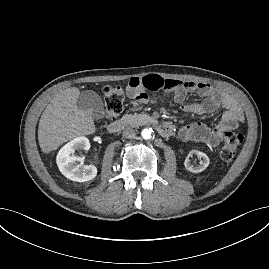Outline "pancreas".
I'll list each match as a JSON object with an SVG mask.
<instances>
[{
	"label": "pancreas",
	"mask_w": 269,
	"mask_h": 269,
	"mask_svg": "<svg viewBox=\"0 0 269 269\" xmlns=\"http://www.w3.org/2000/svg\"><path fill=\"white\" fill-rule=\"evenodd\" d=\"M147 117L146 114H125L120 122L127 126L138 127L147 123Z\"/></svg>",
	"instance_id": "1"
}]
</instances>
